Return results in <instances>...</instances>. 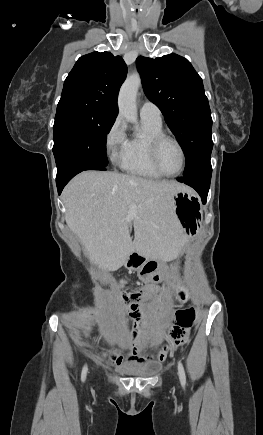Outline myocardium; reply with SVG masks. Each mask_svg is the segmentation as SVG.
<instances>
[{
    "label": "myocardium",
    "mask_w": 263,
    "mask_h": 435,
    "mask_svg": "<svg viewBox=\"0 0 263 435\" xmlns=\"http://www.w3.org/2000/svg\"><path fill=\"white\" fill-rule=\"evenodd\" d=\"M165 141H171V142L175 143L181 152L182 166H181L180 171L177 173H174V174H170V173L165 172L159 163V159H158L159 150H160L161 145ZM149 156H150L151 164L154 167V169L159 174H161L162 176H165V177H177V176L181 175L186 168L187 157H186V151H185L184 146L176 137L165 134V133L157 135L151 139L150 145H149Z\"/></svg>",
    "instance_id": "obj_1"
}]
</instances>
